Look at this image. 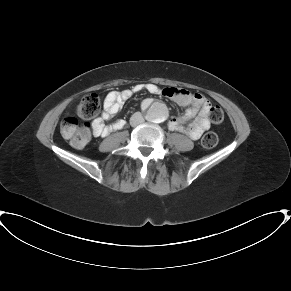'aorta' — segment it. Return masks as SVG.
Segmentation results:
<instances>
[{"label": "aorta", "mask_w": 291, "mask_h": 291, "mask_svg": "<svg viewBox=\"0 0 291 291\" xmlns=\"http://www.w3.org/2000/svg\"><path fill=\"white\" fill-rule=\"evenodd\" d=\"M168 110L162 103H153L147 111V117L150 121L160 123L166 120Z\"/></svg>", "instance_id": "1"}]
</instances>
